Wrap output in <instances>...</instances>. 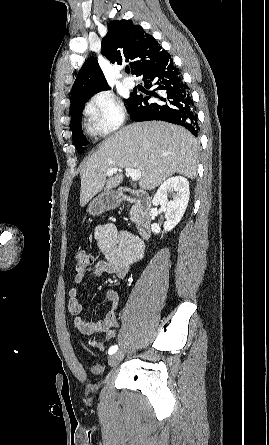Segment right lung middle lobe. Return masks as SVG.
Wrapping results in <instances>:
<instances>
[{
	"mask_svg": "<svg viewBox=\"0 0 269 445\" xmlns=\"http://www.w3.org/2000/svg\"><path fill=\"white\" fill-rule=\"evenodd\" d=\"M133 95L134 94H131V96L128 99H125V103L127 104L128 108L131 104ZM85 103H86V101L81 102V103L70 108V112H71L70 125H71V130H72V137H73V141L76 145L77 151L79 153H82L84 151V146H86L88 144V141L82 132V128H81V124H80V118H81L82 110H83Z\"/></svg>",
	"mask_w": 269,
	"mask_h": 445,
	"instance_id": "right-lung-middle-lobe-1",
	"label": "right lung middle lobe"
}]
</instances>
